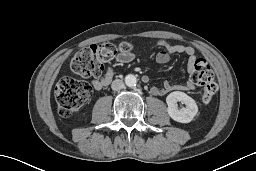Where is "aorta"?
I'll return each mask as SVG.
<instances>
[{"label": "aorta", "mask_w": 256, "mask_h": 171, "mask_svg": "<svg viewBox=\"0 0 256 171\" xmlns=\"http://www.w3.org/2000/svg\"><path fill=\"white\" fill-rule=\"evenodd\" d=\"M125 84L128 87H134L137 84V78L134 75L129 74L125 77Z\"/></svg>", "instance_id": "aorta-1"}]
</instances>
